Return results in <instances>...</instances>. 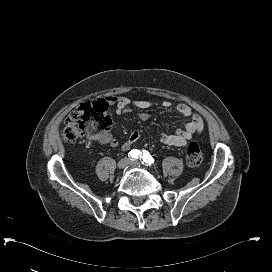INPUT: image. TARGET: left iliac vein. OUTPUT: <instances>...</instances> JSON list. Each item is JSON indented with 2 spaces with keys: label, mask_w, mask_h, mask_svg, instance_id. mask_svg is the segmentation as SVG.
Wrapping results in <instances>:
<instances>
[{
  "label": "left iliac vein",
  "mask_w": 272,
  "mask_h": 272,
  "mask_svg": "<svg viewBox=\"0 0 272 272\" xmlns=\"http://www.w3.org/2000/svg\"><path fill=\"white\" fill-rule=\"evenodd\" d=\"M130 164L133 165V166H140L141 162H139L138 160H131Z\"/></svg>",
  "instance_id": "4c4485c4"
}]
</instances>
